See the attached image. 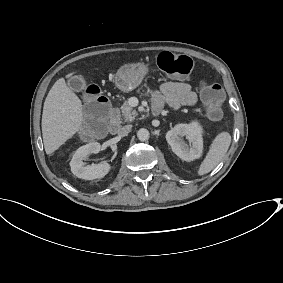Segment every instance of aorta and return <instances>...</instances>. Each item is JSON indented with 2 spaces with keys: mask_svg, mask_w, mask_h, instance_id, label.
<instances>
[{
  "mask_svg": "<svg viewBox=\"0 0 283 283\" xmlns=\"http://www.w3.org/2000/svg\"><path fill=\"white\" fill-rule=\"evenodd\" d=\"M137 137L140 141H146L150 137L149 131L145 128H141L137 132Z\"/></svg>",
  "mask_w": 283,
  "mask_h": 283,
  "instance_id": "762f6f07",
  "label": "aorta"
}]
</instances>
